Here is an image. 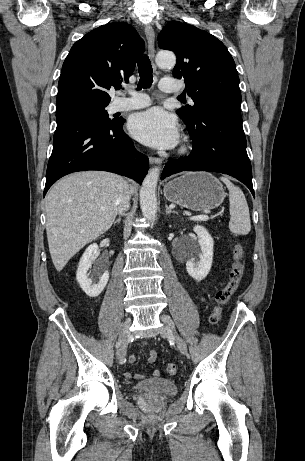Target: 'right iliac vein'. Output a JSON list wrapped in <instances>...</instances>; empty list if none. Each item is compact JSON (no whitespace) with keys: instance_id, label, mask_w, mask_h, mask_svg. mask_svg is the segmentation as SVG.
<instances>
[{"instance_id":"1","label":"right iliac vein","mask_w":305,"mask_h":461,"mask_svg":"<svg viewBox=\"0 0 305 461\" xmlns=\"http://www.w3.org/2000/svg\"><path fill=\"white\" fill-rule=\"evenodd\" d=\"M130 325H131V320L126 319L120 329L119 338H120L121 344L116 353V356L120 362H123L126 357L127 341L130 336Z\"/></svg>"}]
</instances>
